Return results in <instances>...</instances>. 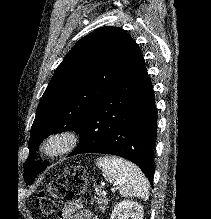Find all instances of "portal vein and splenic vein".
Instances as JSON below:
<instances>
[{
    "label": "portal vein and splenic vein",
    "mask_w": 211,
    "mask_h": 219,
    "mask_svg": "<svg viewBox=\"0 0 211 219\" xmlns=\"http://www.w3.org/2000/svg\"><path fill=\"white\" fill-rule=\"evenodd\" d=\"M102 194L106 195V193H105V192H102Z\"/></svg>",
    "instance_id": "1"
}]
</instances>
